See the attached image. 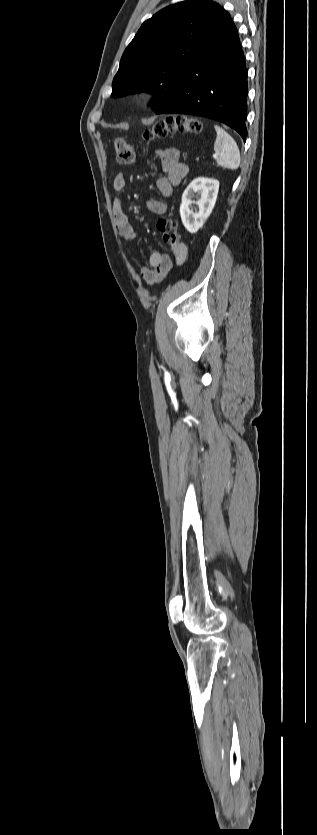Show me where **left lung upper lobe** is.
Wrapping results in <instances>:
<instances>
[{
	"instance_id": "left-lung-upper-lobe-1",
	"label": "left lung upper lobe",
	"mask_w": 317,
	"mask_h": 835,
	"mask_svg": "<svg viewBox=\"0 0 317 835\" xmlns=\"http://www.w3.org/2000/svg\"><path fill=\"white\" fill-rule=\"evenodd\" d=\"M225 14L215 2L190 0L153 15L124 51L111 96L150 92L157 98L152 105L154 111L174 102L188 65Z\"/></svg>"
}]
</instances>
